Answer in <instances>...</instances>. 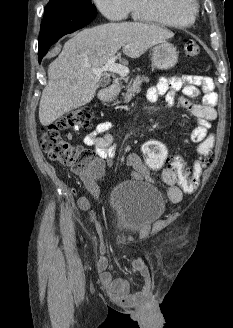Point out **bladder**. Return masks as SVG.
Segmentation results:
<instances>
[{
    "label": "bladder",
    "mask_w": 233,
    "mask_h": 328,
    "mask_svg": "<svg viewBox=\"0 0 233 328\" xmlns=\"http://www.w3.org/2000/svg\"><path fill=\"white\" fill-rule=\"evenodd\" d=\"M119 228L138 232L152 225L165 212V200L160 190L143 181H126L115 185L108 197Z\"/></svg>",
    "instance_id": "bladder-1"
}]
</instances>
